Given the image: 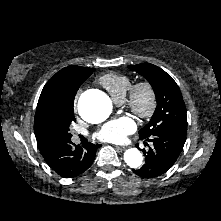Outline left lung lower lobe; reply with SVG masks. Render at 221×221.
I'll return each instance as SVG.
<instances>
[{
	"label": "left lung lower lobe",
	"instance_id": "1",
	"mask_svg": "<svg viewBox=\"0 0 221 221\" xmlns=\"http://www.w3.org/2000/svg\"><path fill=\"white\" fill-rule=\"evenodd\" d=\"M144 140L153 143L146 152L145 164L133 172L142 178H155L167 172L179 157L186 141V130L159 132Z\"/></svg>",
	"mask_w": 221,
	"mask_h": 221
}]
</instances>
